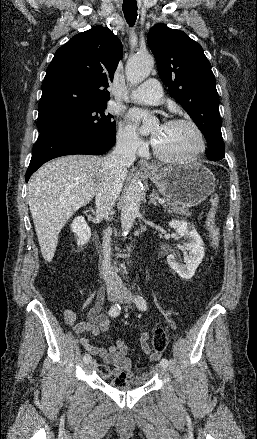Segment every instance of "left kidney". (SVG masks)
<instances>
[{"instance_id":"1","label":"left kidney","mask_w":257,"mask_h":439,"mask_svg":"<svg viewBox=\"0 0 257 439\" xmlns=\"http://www.w3.org/2000/svg\"><path fill=\"white\" fill-rule=\"evenodd\" d=\"M169 226L176 229L179 236L187 241V255L185 264L179 262L174 254L167 256V262L180 277L191 279L205 255L203 240L196 229L186 221L172 220Z\"/></svg>"}]
</instances>
